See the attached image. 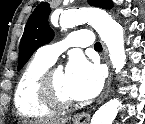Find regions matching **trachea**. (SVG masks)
<instances>
[{
	"instance_id": "trachea-1",
	"label": "trachea",
	"mask_w": 145,
	"mask_h": 124,
	"mask_svg": "<svg viewBox=\"0 0 145 124\" xmlns=\"http://www.w3.org/2000/svg\"><path fill=\"white\" fill-rule=\"evenodd\" d=\"M94 48L95 49H102V45L100 42H96L95 45H94Z\"/></svg>"
}]
</instances>
